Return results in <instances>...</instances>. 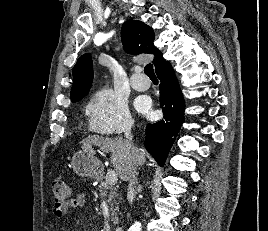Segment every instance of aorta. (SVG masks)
<instances>
[{
    "label": "aorta",
    "instance_id": "obj_1",
    "mask_svg": "<svg viewBox=\"0 0 268 231\" xmlns=\"http://www.w3.org/2000/svg\"><path fill=\"white\" fill-rule=\"evenodd\" d=\"M131 231H141V223L136 221L130 228Z\"/></svg>",
    "mask_w": 268,
    "mask_h": 231
}]
</instances>
